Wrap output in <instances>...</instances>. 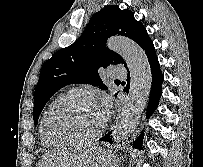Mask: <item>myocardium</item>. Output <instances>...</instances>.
Returning <instances> with one entry per match:
<instances>
[{
    "mask_svg": "<svg viewBox=\"0 0 203 167\" xmlns=\"http://www.w3.org/2000/svg\"><path fill=\"white\" fill-rule=\"evenodd\" d=\"M80 98L89 99L90 95L83 91L73 92L49 112V114L46 116L44 121V129L46 134L50 138L56 141H59L63 144H85V143L92 142L101 136V134L104 132L106 127L105 122H103L101 128L98 131H96L94 134L87 137H77V138L67 137L60 133L55 132L52 129L51 123L54 120V118H56L58 115L64 112L71 104H73L76 100Z\"/></svg>",
    "mask_w": 203,
    "mask_h": 167,
    "instance_id": "f54148a6",
    "label": "myocardium"
}]
</instances>
